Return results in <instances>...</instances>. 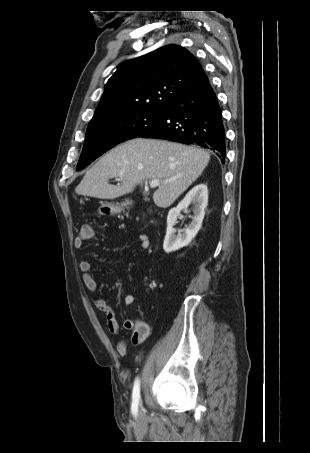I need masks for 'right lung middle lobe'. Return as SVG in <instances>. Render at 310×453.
I'll return each mask as SVG.
<instances>
[{
  "label": "right lung middle lobe",
  "mask_w": 310,
  "mask_h": 453,
  "mask_svg": "<svg viewBox=\"0 0 310 453\" xmlns=\"http://www.w3.org/2000/svg\"><path fill=\"white\" fill-rule=\"evenodd\" d=\"M162 115L163 110L133 111L111 114L91 121L76 169H83L117 144L139 137L155 125Z\"/></svg>",
  "instance_id": "obj_1"
}]
</instances>
